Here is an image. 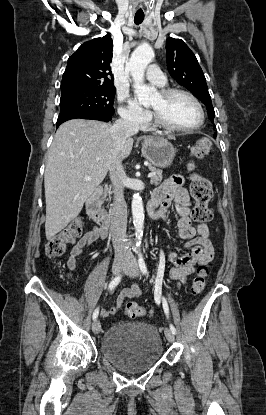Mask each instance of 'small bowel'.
<instances>
[{
  "label": "small bowel",
  "instance_id": "1",
  "mask_svg": "<svg viewBox=\"0 0 266 415\" xmlns=\"http://www.w3.org/2000/svg\"><path fill=\"white\" fill-rule=\"evenodd\" d=\"M184 178L181 175H172L153 192L148 204V209L155 219L168 220L172 200L175 201V211L178 215L177 228L179 238L185 240L184 248L189 252L179 255L174 251L168 252V259L172 267L168 271V277L181 285L195 272L197 267H203L214 259V248L210 240V231L206 224L193 226L190 218L191 200L188 190L184 186ZM107 231L94 227L87 231L72 247L67 261L69 270L77 266V259L84 248L93 242L104 239ZM141 295V288L134 284L122 290L117 297L115 305L102 311V316H115L124 299L136 298Z\"/></svg>",
  "mask_w": 266,
  "mask_h": 415
}]
</instances>
